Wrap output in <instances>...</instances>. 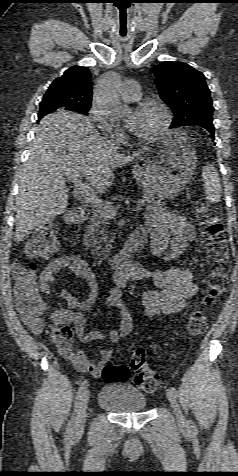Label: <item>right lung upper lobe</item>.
Returning <instances> with one entry per match:
<instances>
[{"mask_svg": "<svg viewBox=\"0 0 238 476\" xmlns=\"http://www.w3.org/2000/svg\"><path fill=\"white\" fill-rule=\"evenodd\" d=\"M92 101L91 73L87 67L72 66L49 86L41 102L57 105L59 109L78 111L90 107Z\"/></svg>", "mask_w": 238, "mask_h": 476, "instance_id": "cb5924a9", "label": "right lung upper lobe"}]
</instances>
